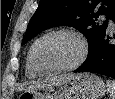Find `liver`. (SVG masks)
Wrapping results in <instances>:
<instances>
[{
    "label": "liver",
    "mask_w": 115,
    "mask_h": 99,
    "mask_svg": "<svg viewBox=\"0 0 115 99\" xmlns=\"http://www.w3.org/2000/svg\"><path fill=\"white\" fill-rule=\"evenodd\" d=\"M63 77H65V76H62V77H60V78H63ZM60 78L54 79L52 82H50V84L57 82ZM46 85H47V84L37 83V84L30 85V86L28 87V89L41 88V87H44V86H46Z\"/></svg>",
    "instance_id": "1"
}]
</instances>
